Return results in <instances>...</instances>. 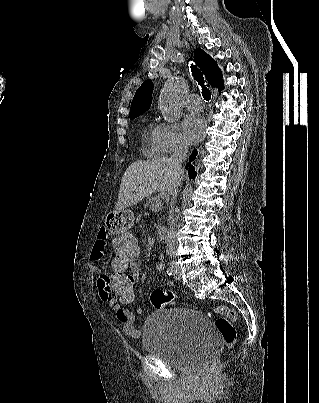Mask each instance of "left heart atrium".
<instances>
[{
  "label": "left heart atrium",
  "instance_id": "left-heart-atrium-1",
  "mask_svg": "<svg viewBox=\"0 0 319 403\" xmlns=\"http://www.w3.org/2000/svg\"><path fill=\"white\" fill-rule=\"evenodd\" d=\"M206 129V123L202 116L189 114L183 120V133L189 143L201 140Z\"/></svg>",
  "mask_w": 319,
  "mask_h": 403
}]
</instances>
